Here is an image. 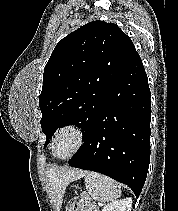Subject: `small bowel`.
Wrapping results in <instances>:
<instances>
[{"label": "small bowel", "instance_id": "obj_1", "mask_svg": "<svg viewBox=\"0 0 178 211\" xmlns=\"http://www.w3.org/2000/svg\"><path fill=\"white\" fill-rule=\"evenodd\" d=\"M78 211H98L97 207L89 199H84L80 202Z\"/></svg>", "mask_w": 178, "mask_h": 211}]
</instances>
